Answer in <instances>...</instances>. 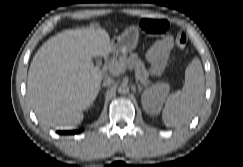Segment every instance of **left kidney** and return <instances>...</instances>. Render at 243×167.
Wrapping results in <instances>:
<instances>
[{
	"label": "left kidney",
	"mask_w": 243,
	"mask_h": 167,
	"mask_svg": "<svg viewBox=\"0 0 243 167\" xmlns=\"http://www.w3.org/2000/svg\"><path fill=\"white\" fill-rule=\"evenodd\" d=\"M169 92L167 84H156L146 89L141 97L143 108L152 114H157Z\"/></svg>",
	"instance_id": "left-kidney-1"
}]
</instances>
